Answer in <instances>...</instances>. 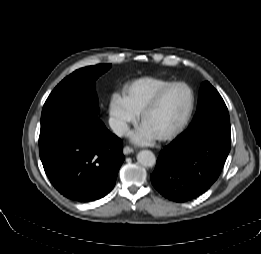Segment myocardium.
<instances>
[{
  "instance_id": "1",
  "label": "myocardium",
  "mask_w": 261,
  "mask_h": 254,
  "mask_svg": "<svg viewBox=\"0 0 261 254\" xmlns=\"http://www.w3.org/2000/svg\"><path fill=\"white\" fill-rule=\"evenodd\" d=\"M175 86H183L188 90V92H189L188 109H187L186 113L184 114V116L182 117L181 121L178 123V125L174 129L154 136V139L157 141H167V140L173 139L178 134H180L182 132V130L184 129V127L186 126V124L188 123V121L192 115V112L194 110L195 94H194L192 88L185 82H180V81L172 82V83L168 84L167 86H165L162 90H160L159 93L152 99V101L143 108V110L140 112V118H139L140 124L142 125V123H143L145 117L148 115V113L153 111L157 107V105L159 104L161 99L164 97V95L171 88H173Z\"/></svg>"
}]
</instances>
